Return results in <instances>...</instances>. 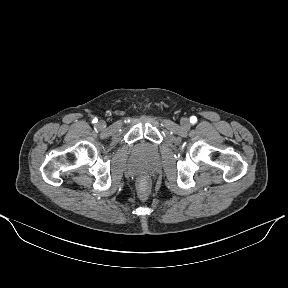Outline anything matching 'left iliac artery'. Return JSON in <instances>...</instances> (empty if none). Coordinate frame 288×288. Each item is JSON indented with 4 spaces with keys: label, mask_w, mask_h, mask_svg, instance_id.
<instances>
[{
    "label": "left iliac artery",
    "mask_w": 288,
    "mask_h": 288,
    "mask_svg": "<svg viewBox=\"0 0 288 288\" xmlns=\"http://www.w3.org/2000/svg\"><path fill=\"white\" fill-rule=\"evenodd\" d=\"M190 122L191 123H196L197 122V118L195 116H191L190 117Z\"/></svg>",
    "instance_id": "44dca946"
}]
</instances>
